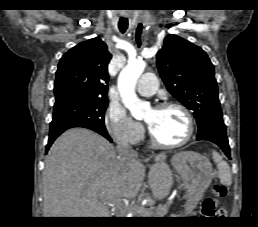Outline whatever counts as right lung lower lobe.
Wrapping results in <instances>:
<instances>
[{"mask_svg": "<svg viewBox=\"0 0 258 227\" xmlns=\"http://www.w3.org/2000/svg\"><path fill=\"white\" fill-rule=\"evenodd\" d=\"M73 127H82L76 123L70 122V121H64V120H54L50 124V132H49V140L48 144L46 146V152L54 142V140L64 131L67 129L73 128ZM97 133L101 134L105 138H107L110 142H112V139L108 135L107 131H96Z\"/></svg>", "mask_w": 258, "mask_h": 227, "instance_id": "1", "label": "right lung lower lobe"}]
</instances>
